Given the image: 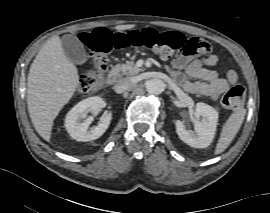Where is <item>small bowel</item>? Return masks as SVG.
Masks as SVG:
<instances>
[{
  "instance_id": "small-bowel-1",
  "label": "small bowel",
  "mask_w": 270,
  "mask_h": 213,
  "mask_svg": "<svg viewBox=\"0 0 270 213\" xmlns=\"http://www.w3.org/2000/svg\"><path fill=\"white\" fill-rule=\"evenodd\" d=\"M205 50L206 48L201 59H192L191 56L184 54L177 55L168 67V71L186 90L217 100L227 91L229 83L220 78L218 73L212 69L217 63V57ZM187 77L199 81L191 82L186 79Z\"/></svg>"
}]
</instances>
